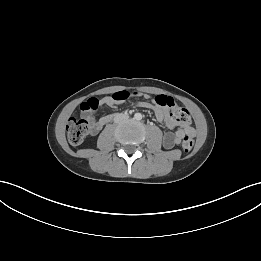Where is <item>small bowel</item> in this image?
<instances>
[{"label": "small bowel", "mask_w": 261, "mask_h": 261, "mask_svg": "<svg viewBox=\"0 0 261 261\" xmlns=\"http://www.w3.org/2000/svg\"><path fill=\"white\" fill-rule=\"evenodd\" d=\"M106 104L108 106H113L114 103L112 100L107 99ZM142 107L151 109L156 119L160 122H163L168 128L173 129L177 126V122L171 117V108L170 107H162L156 103L155 99H151L150 101H145L140 104ZM112 115H106L101 117L99 120L91 119L90 124V133L92 135L97 134L100 129L111 121ZM195 130L189 124H184L179 127L174 133H166L163 137V146L166 149H172L175 145L179 144L186 136H193Z\"/></svg>", "instance_id": "obj_1"}]
</instances>
